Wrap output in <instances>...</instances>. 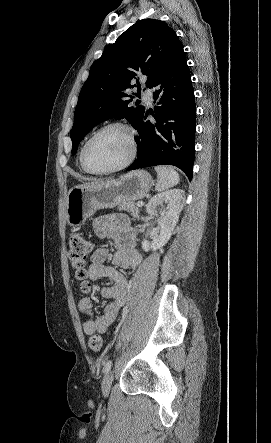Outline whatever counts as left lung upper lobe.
<instances>
[{
  "label": "left lung upper lobe",
  "instance_id": "1",
  "mask_svg": "<svg viewBox=\"0 0 271 443\" xmlns=\"http://www.w3.org/2000/svg\"><path fill=\"white\" fill-rule=\"evenodd\" d=\"M178 45H182L181 41L165 22L144 19L106 47L90 67L79 95L70 133L73 155L87 132L104 120L116 116L126 118L136 129L145 108L129 106L133 96L126 89L138 86L140 90L143 77L148 87L153 75Z\"/></svg>",
  "mask_w": 271,
  "mask_h": 443
}]
</instances>
